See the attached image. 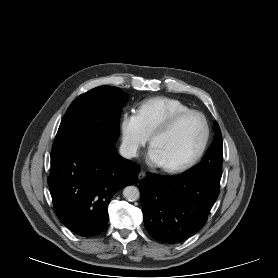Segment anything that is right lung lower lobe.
<instances>
[{
    "label": "right lung lower lobe",
    "mask_w": 278,
    "mask_h": 278,
    "mask_svg": "<svg viewBox=\"0 0 278 278\" xmlns=\"http://www.w3.org/2000/svg\"><path fill=\"white\" fill-rule=\"evenodd\" d=\"M114 142L93 140L51 152L48 184L55 213L80 236L105 230L111 198L137 180L139 167L120 157Z\"/></svg>",
    "instance_id": "98d812e1"
}]
</instances>
